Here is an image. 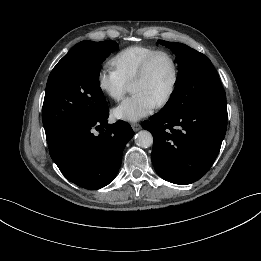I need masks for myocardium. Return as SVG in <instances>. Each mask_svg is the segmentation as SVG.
I'll use <instances>...</instances> for the list:
<instances>
[{
    "mask_svg": "<svg viewBox=\"0 0 261 261\" xmlns=\"http://www.w3.org/2000/svg\"><path fill=\"white\" fill-rule=\"evenodd\" d=\"M159 56L167 57L172 65V70H173L171 86H170L168 92L166 93V95L157 103V107L162 108V107L166 106L172 100V98L175 95V92L177 90L178 82H179V67H178L176 58L172 53H170L167 50H157L154 53H152L151 55H149L145 59V61L142 63L139 71L133 78L131 85L134 84L135 82L141 81L147 77L154 60L156 58H158Z\"/></svg>",
    "mask_w": 261,
    "mask_h": 261,
    "instance_id": "f54148a6",
    "label": "myocardium"
}]
</instances>
